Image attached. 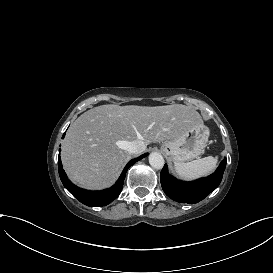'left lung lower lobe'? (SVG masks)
Masks as SVG:
<instances>
[{
    "label": "left lung lower lobe",
    "mask_w": 273,
    "mask_h": 273,
    "mask_svg": "<svg viewBox=\"0 0 273 273\" xmlns=\"http://www.w3.org/2000/svg\"><path fill=\"white\" fill-rule=\"evenodd\" d=\"M225 167L226 158L212 175L196 181L184 182L170 176L167 165H165L160 173L162 189L174 201L188 204L197 203L219 186Z\"/></svg>",
    "instance_id": "0a47b994"
}]
</instances>
